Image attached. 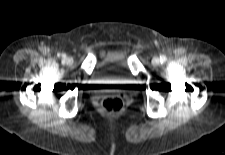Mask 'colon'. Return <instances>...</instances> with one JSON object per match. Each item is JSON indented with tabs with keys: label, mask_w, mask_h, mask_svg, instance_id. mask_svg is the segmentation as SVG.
Listing matches in <instances>:
<instances>
[{
	"label": "colon",
	"mask_w": 225,
	"mask_h": 155,
	"mask_svg": "<svg viewBox=\"0 0 225 155\" xmlns=\"http://www.w3.org/2000/svg\"><path fill=\"white\" fill-rule=\"evenodd\" d=\"M102 110L109 114H118L123 111L125 102L120 95H107L100 100Z\"/></svg>",
	"instance_id": "5ec220e1"
}]
</instances>
